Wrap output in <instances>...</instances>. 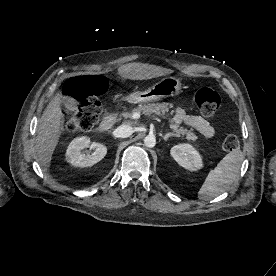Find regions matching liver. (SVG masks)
<instances>
[{
  "mask_svg": "<svg viewBox=\"0 0 276 276\" xmlns=\"http://www.w3.org/2000/svg\"><path fill=\"white\" fill-rule=\"evenodd\" d=\"M172 72L167 68L144 63H129L118 68V74L121 78L130 80H147L168 75ZM71 99V97H66L61 92L56 93L48 103L39 121L35 149L38 161L45 170L50 166L52 155L64 129L62 104Z\"/></svg>",
  "mask_w": 276,
  "mask_h": 276,
  "instance_id": "6515ba94",
  "label": "liver"
}]
</instances>
